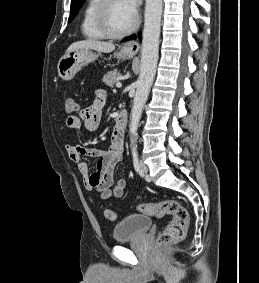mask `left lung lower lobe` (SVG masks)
Instances as JSON below:
<instances>
[{
	"mask_svg": "<svg viewBox=\"0 0 259 283\" xmlns=\"http://www.w3.org/2000/svg\"><path fill=\"white\" fill-rule=\"evenodd\" d=\"M135 38H136V36H135V35H132V36H130V37H128V38L122 40V42H125V41H128V40H132V39H135Z\"/></svg>",
	"mask_w": 259,
	"mask_h": 283,
	"instance_id": "0a47b994",
	"label": "left lung lower lobe"
}]
</instances>
